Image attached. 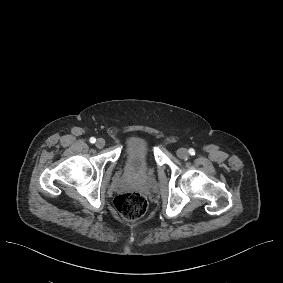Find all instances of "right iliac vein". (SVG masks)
I'll return each mask as SVG.
<instances>
[{"instance_id":"63e3f726","label":"right iliac vein","mask_w":283,"mask_h":283,"mask_svg":"<svg viewBox=\"0 0 283 283\" xmlns=\"http://www.w3.org/2000/svg\"><path fill=\"white\" fill-rule=\"evenodd\" d=\"M96 146H97L98 148H103V147L105 146V141H104V139H102V138L97 139V141H96Z\"/></svg>"}]
</instances>
